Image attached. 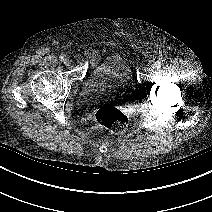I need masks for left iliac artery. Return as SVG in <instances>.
Masks as SVG:
<instances>
[{
  "mask_svg": "<svg viewBox=\"0 0 212 212\" xmlns=\"http://www.w3.org/2000/svg\"><path fill=\"white\" fill-rule=\"evenodd\" d=\"M161 67V62L160 61H157L156 63H155V68H160Z\"/></svg>",
  "mask_w": 212,
  "mask_h": 212,
  "instance_id": "1",
  "label": "left iliac artery"
}]
</instances>
